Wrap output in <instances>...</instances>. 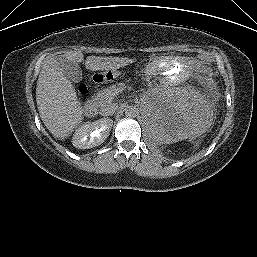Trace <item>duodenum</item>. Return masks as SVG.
<instances>
[{"label": "duodenum", "mask_w": 257, "mask_h": 257, "mask_svg": "<svg viewBox=\"0 0 257 257\" xmlns=\"http://www.w3.org/2000/svg\"><path fill=\"white\" fill-rule=\"evenodd\" d=\"M83 112L86 116H94L97 112V106L95 102L91 99H87L83 106Z\"/></svg>", "instance_id": "1"}]
</instances>
